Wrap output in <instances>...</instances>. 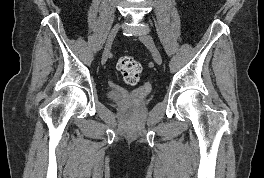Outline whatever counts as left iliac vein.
Returning <instances> with one entry per match:
<instances>
[{
  "label": "left iliac vein",
  "instance_id": "obj_1",
  "mask_svg": "<svg viewBox=\"0 0 264 178\" xmlns=\"http://www.w3.org/2000/svg\"><path fill=\"white\" fill-rule=\"evenodd\" d=\"M138 37L139 40L150 50L156 64L161 65L162 57L153 38L149 34H140Z\"/></svg>",
  "mask_w": 264,
  "mask_h": 178
}]
</instances>
